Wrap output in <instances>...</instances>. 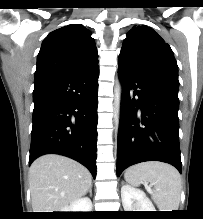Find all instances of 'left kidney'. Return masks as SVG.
Returning <instances> with one entry per match:
<instances>
[{
  "label": "left kidney",
  "mask_w": 203,
  "mask_h": 219,
  "mask_svg": "<svg viewBox=\"0 0 203 219\" xmlns=\"http://www.w3.org/2000/svg\"><path fill=\"white\" fill-rule=\"evenodd\" d=\"M122 205L125 211H156L146 194L128 184L121 188Z\"/></svg>",
  "instance_id": "5707ae66"
}]
</instances>
